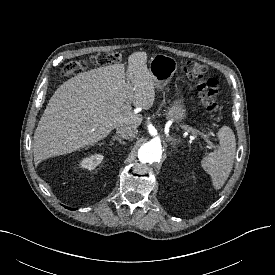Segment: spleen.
<instances>
[{"label": "spleen", "mask_w": 275, "mask_h": 275, "mask_svg": "<svg viewBox=\"0 0 275 275\" xmlns=\"http://www.w3.org/2000/svg\"><path fill=\"white\" fill-rule=\"evenodd\" d=\"M220 146L201 161L202 168L211 176L214 188H221L233 167L236 140L233 131L223 126L218 132Z\"/></svg>", "instance_id": "3e777b00"}]
</instances>
